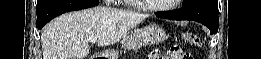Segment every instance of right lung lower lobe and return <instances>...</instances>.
<instances>
[{
    "mask_svg": "<svg viewBox=\"0 0 261 59\" xmlns=\"http://www.w3.org/2000/svg\"><path fill=\"white\" fill-rule=\"evenodd\" d=\"M99 4V0H52L45 4L37 13L36 27L41 29L53 18L69 11L81 10L94 7Z\"/></svg>",
    "mask_w": 261,
    "mask_h": 59,
    "instance_id": "98d812e1",
    "label": "right lung lower lobe"
}]
</instances>
